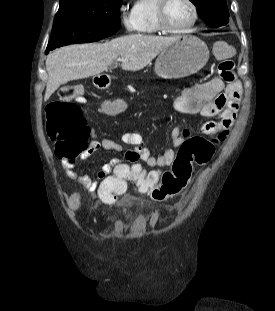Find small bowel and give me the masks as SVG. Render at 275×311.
Wrapping results in <instances>:
<instances>
[{
	"label": "small bowel",
	"instance_id": "small-bowel-1",
	"mask_svg": "<svg viewBox=\"0 0 275 311\" xmlns=\"http://www.w3.org/2000/svg\"><path fill=\"white\" fill-rule=\"evenodd\" d=\"M235 50L228 48V55L233 56ZM241 99V84L237 80L224 81L219 77H213L206 82L186 90L175 102L177 111L183 114H199L204 117L218 116L219 122L207 121L200 125L199 131L211 135L222 127L229 128L236 116ZM190 129L187 127H175L171 132V139L174 148H178L188 137ZM123 144L132 145L133 149H124L123 144L115 140L94 136L86 151L81 155L82 159H88L100 149L122 152L126 160H141L150 167H166L172 164L175 159V149L163 148L161 154L152 155L145 145L144 138L139 132H125L121 136ZM123 161L119 158H112L106 162L93 179L88 175H81L75 172V160H63L62 166L67 176L90 192H96L98 184L103 183L105 175L111 173L121 166ZM72 198H79V191H72ZM68 213H83V206L78 200H70Z\"/></svg>",
	"mask_w": 275,
	"mask_h": 311
}]
</instances>
